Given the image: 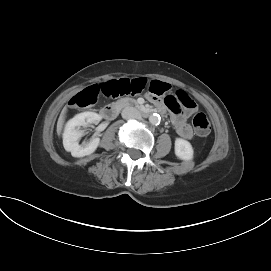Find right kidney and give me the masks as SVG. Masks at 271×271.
I'll return each mask as SVG.
<instances>
[{
    "label": "right kidney",
    "mask_w": 271,
    "mask_h": 271,
    "mask_svg": "<svg viewBox=\"0 0 271 271\" xmlns=\"http://www.w3.org/2000/svg\"><path fill=\"white\" fill-rule=\"evenodd\" d=\"M101 117L95 112H83L70 119L63 133V146L73 157H84L92 154L100 143V138L93 137L90 142L79 145V139L84 131L80 127H87L90 123L99 122Z\"/></svg>",
    "instance_id": "ca27d5eb"
}]
</instances>
